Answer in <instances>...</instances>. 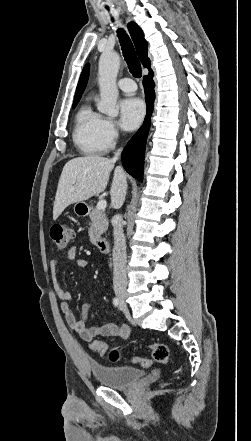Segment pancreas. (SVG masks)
Here are the masks:
<instances>
[{
	"mask_svg": "<svg viewBox=\"0 0 251 441\" xmlns=\"http://www.w3.org/2000/svg\"><path fill=\"white\" fill-rule=\"evenodd\" d=\"M89 217V237L90 241L95 244L99 241L101 235L107 230L109 223L105 213L97 208H91Z\"/></svg>",
	"mask_w": 251,
	"mask_h": 441,
	"instance_id": "pancreas-1",
	"label": "pancreas"
}]
</instances>
